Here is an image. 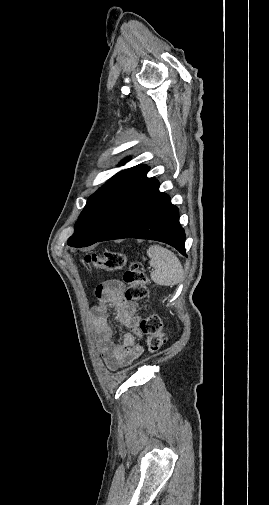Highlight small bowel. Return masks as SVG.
<instances>
[{
	"instance_id": "obj_1",
	"label": "small bowel",
	"mask_w": 269,
	"mask_h": 505,
	"mask_svg": "<svg viewBox=\"0 0 269 505\" xmlns=\"http://www.w3.org/2000/svg\"><path fill=\"white\" fill-rule=\"evenodd\" d=\"M98 305L92 309V320L95 328L99 351L110 370H117L130 365L142 354V348L135 344V338L143 333L139 329V320L134 315V304L124 296L121 281L107 280L95 288ZM130 332L125 333L121 343L114 341L115 332L109 321V313Z\"/></svg>"
}]
</instances>
